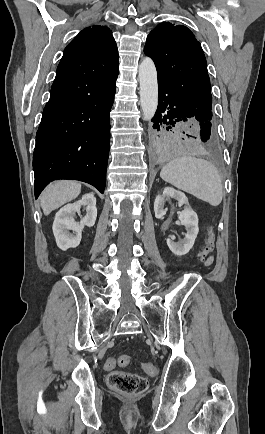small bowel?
Here are the masks:
<instances>
[{
  "mask_svg": "<svg viewBox=\"0 0 265 434\" xmlns=\"http://www.w3.org/2000/svg\"><path fill=\"white\" fill-rule=\"evenodd\" d=\"M212 262H213V258H212V257H209V258L206 260V265H211ZM117 365H119V366H124V365H120V364L117 362L116 359H114V358H108V359L105 361V363H104V368H105L106 370L110 371V370H113Z\"/></svg>",
  "mask_w": 265,
  "mask_h": 434,
  "instance_id": "small-bowel-1",
  "label": "small bowel"
}]
</instances>
